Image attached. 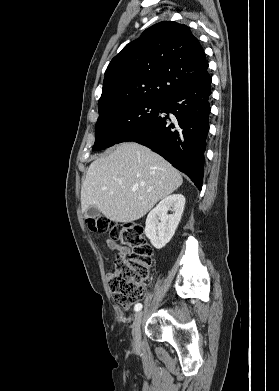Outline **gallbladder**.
I'll return each mask as SVG.
<instances>
[{"label": "gallbladder", "mask_w": 279, "mask_h": 391, "mask_svg": "<svg viewBox=\"0 0 279 391\" xmlns=\"http://www.w3.org/2000/svg\"><path fill=\"white\" fill-rule=\"evenodd\" d=\"M100 210L95 207V206H92V207H89L86 212H85V217L87 218H96L100 215Z\"/></svg>", "instance_id": "bac80fb5"}]
</instances>
